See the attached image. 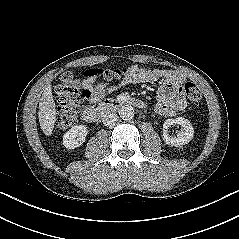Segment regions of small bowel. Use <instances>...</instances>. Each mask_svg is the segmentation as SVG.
Returning <instances> with one entry per match:
<instances>
[{
	"mask_svg": "<svg viewBox=\"0 0 239 239\" xmlns=\"http://www.w3.org/2000/svg\"><path fill=\"white\" fill-rule=\"evenodd\" d=\"M96 71V69L87 70L81 81L82 96L91 103L99 102L109 92L105 85L97 83ZM161 78H164L165 81L157 91L156 110L163 116L174 115L185 107V99L180 90V76L153 67L132 65L128 68L125 82L154 83Z\"/></svg>",
	"mask_w": 239,
	"mask_h": 239,
	"instance_id": "small-bowel-1",
	"label": "small bowel"
}]
</instances>
